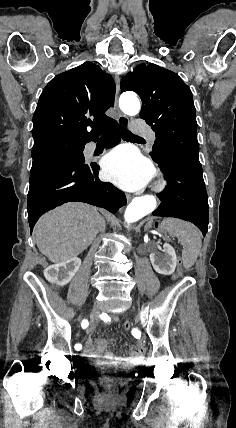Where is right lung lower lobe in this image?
<instances>
[{
    "label": "right lung lower lobe",
    "mask_w": 236,
    "mask_h": 428,
    "mask_svg": "<svg viewBox=\"0 0 236 428\" xmlns=\"http://www.w3.org/2000/svg\"><path fill=\"white\" fill-rule=\"evenodd\" d=\"M108 131V147L120 142L117 123ZM103 130V131H104ZM92 137L85 141H96ZM99 167L68 159H55L31 168L27 211L30 230L45 212L69 201L85 202L102 207L111 213L126 205L124 193L111 183L98 178Z\"/></svg>",
    "instance_id": "98d812e1"
}]
</instances>
